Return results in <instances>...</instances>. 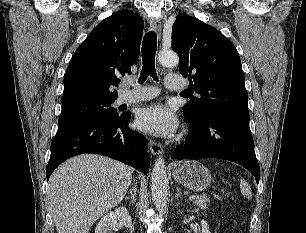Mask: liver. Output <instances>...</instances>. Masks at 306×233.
Instances as JSON below:
<instances>
[{"label": "liver", "instance_id": "6515ba94", "mask_svg": "<svg viewBox=\"0 0 306 233\" xmlns=\"http://www.w3.org/2000/svg\"><path fill=\"white\" fill-rule=\"evenodd\" d=\"M133 169L96 154L67 160L51 175L48 201L57 233H88L128 190Z\"/></svg>", "mask_w": 306, "mask_h": 233}]
</instances>
